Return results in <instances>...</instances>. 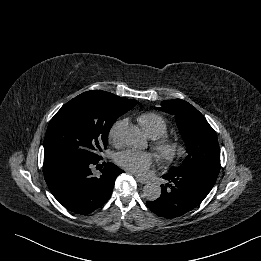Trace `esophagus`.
Returning <instances> with one entry per match:
<instances>
[{
	"label": "esophagus",
	"mask_w": 261,
	"mask_h": 261,
	"mask_svg": "<svg viewBox=\"0 0 261 261\" xmlns=\"http://www.w3.org/2000/svg\"><path fill=\"white\" fill-rule=\"evenodd\" d=\"M136 180L141 183V184H147L149 183V180L146 178H142V177H136Z\"/></svg>",
	"instance_id": "obj_1"
}]
</instances>
